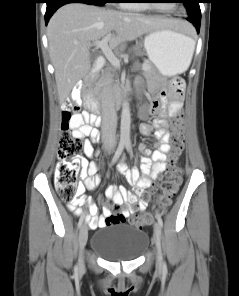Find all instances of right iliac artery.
<instances>
[{
  "instance_id": "1",
  "label": "right iliac artery",
  "mask_w": 239,
  "mask_h": 296,
  "mask_svg": "<svg viewBox=\"0 0 239 296\" xmlns=\"http://www.w3.org/2000/svg\"><path fill=\"white\" fill-rule=\"evenodd\" d=\"M124 149V144H119L114 156H113V159H112V162H111V165H113L117 160L118 158L120 157L122 151ZM83 222H84V219L83 218H80L79 220V224H78V227L80 228L81 225H83ZM75 271H78V265L75 266Z\"/></svg>"
}]
</instances>
